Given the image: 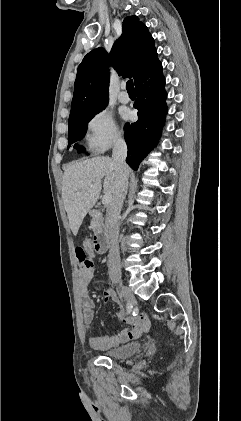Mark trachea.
Segmentation results:
<instances>
[{
	"label": "trachea",
	"instance_id": "obj_1",
	"mask_svg": "<svg viewBox=\"0 0 241 421\" xmlns=\"http://www.w3.org/2000/svg\"><path fill=\"white\" fill-rule=\"evenodd\" d=\"M126 89H127L128 92H135V88H134L133 80L132 79H130V80L127 81V83H126Z\"/></svg>",
	"mask_w": 241,
	"mask_h": 421
}]
</instances>
